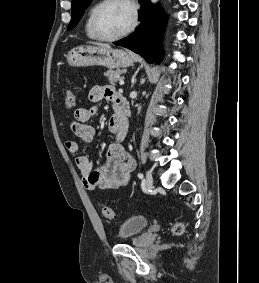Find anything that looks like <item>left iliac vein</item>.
<instances>
[{
	"mask_svg": "<svg viewBox=\"0 0 259 283\" xmlns=\"http://www.w3.org/2000/svg\"><path fill=\"white\" fill-rule=\"evenodd\" d=\"M145 183L148 190H151L153 188V177L150 171L146 172Z\"/></svg>",
	"mask_w": 259,
	"mask_h": 283,
	"instance_id": "obj_1",
	"label": "left iliac vein"
}]
</instances>
